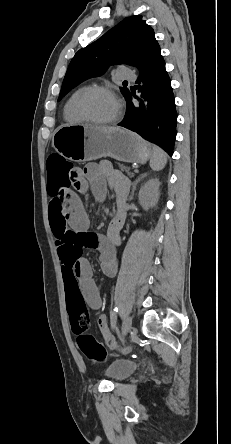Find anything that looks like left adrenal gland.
<instances>
[{"label":"left adrenal gland","instance_id":"left-adrenal-gland-1","mask_svg":"<svg viewBox=\"0 0 231 444\" xmlns=\"http://www.w3.org/2000/svg\"><path fill=\"white\" fill-rule=\"evenodd\" d=\"M147 176V173H144V174H142L139 178H137L134 182H133V184H132V192H131V195H130V197H129V201H131L132 199H133V196H134V191H135V188H136V185L138 184V182H140V180H142L144 177H146Z\"/></svg>","mask_w":231,"mask_h":444}]
</instances>
